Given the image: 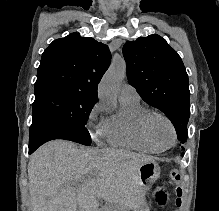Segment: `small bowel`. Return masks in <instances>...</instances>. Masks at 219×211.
Masks as SVG:
<instances>
[{
	"label": "small bowel",
	"instance_id": "obj_1",
	"mask_svg": "<svg viewBox=\"0 0 219 211\" xmlns=\"http://www.w3.org/2000/svg\"><path fill=\"white\" fill-rule=\"evenodd\" d=\"M157 199H158V202L163 205L165 204L167 197L164 193L160 192L158 193Z\"/></svg>",
	"mask_w": 219,
	"mask_h": 211
}]
</instances>
